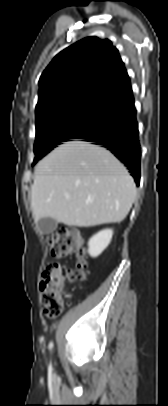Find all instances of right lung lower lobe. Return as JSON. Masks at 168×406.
<instances>
[{"label": "right lung lower lobe", "instance_id": "obj_1", "mask_svg": "<svg viewBox=\"0 0 168 406\" xmlns=\"http://www.w3.org/2000/svg\"><path fill=\"white\" fill-rule=\"evenodd\" d=\"M107 103L108 116L94 129L78 139L93 142L110 150L140 182L141 147L132 89L110 98Z\"/></svg>", "mask_w": 168, "mask_h": 406}]
</instances>
